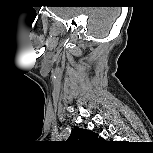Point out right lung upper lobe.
I'll return each instance as SVG.
<instances>
[{
	"mask_svg": "<svg viewBox=\"0 0 153 153\" xmlns=\"http://www.w3.org/2000/svg\"><path fill=\"white\" fill-rule=\"evenodd\" d=\"M68 141L72 143L88 145L96 143L100 141V139L97 138V134L94 132L76 127L72 130Z\"/></svg>",
	"mask_w": 153,
	"mask_h": 153,
	"instance_id": "obj_1",
	"label": "right lung upper lobe"
}]
</instances>
